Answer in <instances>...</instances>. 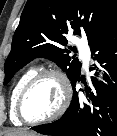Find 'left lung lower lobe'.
<instances>
[{
	"label": "left lung lower lobe",
	"instance_id": "0a47b994",
	"mask_svg": "<svg viewBox=\"0 0 117 136\" xmlns=\"http://www.w3.org/2000/svg\"><path fill=\"white\" fill-rule=\"evenodd\" d=\"M90 49L108 72L104 75L106 83H98L92 77L95 92L84 82L83 94H79L75 89L81 80L79 76L72 82L73 98L64 115L50 124L31 129L52 136H117V20Z\"/></svg>",
	"mask_w": 117,
	"mask_h": 136
}]
</instances>
